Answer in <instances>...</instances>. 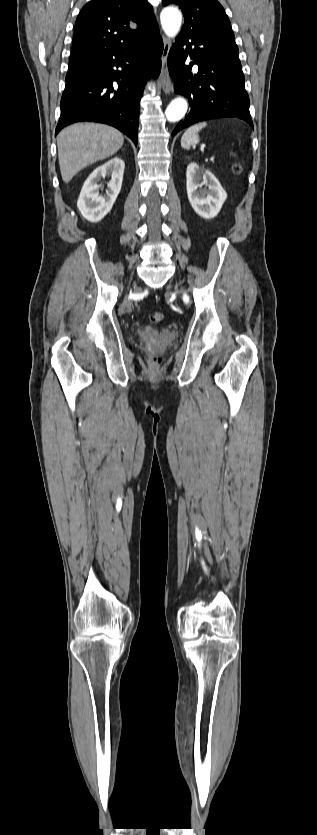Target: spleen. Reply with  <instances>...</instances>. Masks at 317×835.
Instances as JSON below:
<instances>
[{
    "instance_id": "obj_1",
    "label": "spleen",
    "mask_w": 317,
    "mask_h": 835,
    "mask_svg": "<svg viewBox=\"0 0 317 835\" xmlns=\"http://www.w3.org/2000/svg\"><path fill=\"white\" fill-rule=\"evenodd\" d=\"M205 126H207L206 122H200V123H197V124H194V125L190 126L184 132V134L181 138V146L184 149L189 150L191 146H195L197 143H199L198 133Z\"/></svg>"
}]
</instances>
